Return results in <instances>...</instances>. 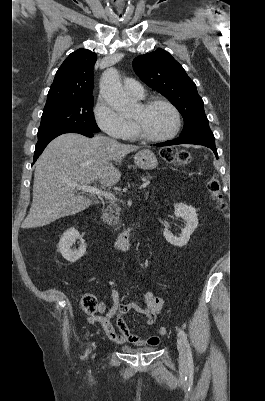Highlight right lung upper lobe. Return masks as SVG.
<instances>
[{"instance_id":"right-lung-upper-lobe-1","label":"right lung upper lobe","mask_w":265,"mask_h":401,"mask_svg":"<svg viewBox=\"0 0 265 401\" xmlns=\"http://www.w3.org/2000/svg\"><path fill=\"white\" fill-rule=\"evenodd\" d=\"M96 59V54L87 49H78L71 53L56 72L46 105L92 96L93 67Z\"/></svg>"}]
</instances>
